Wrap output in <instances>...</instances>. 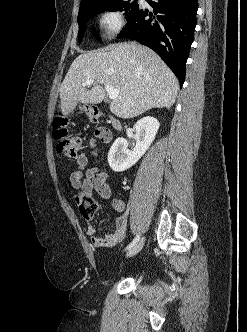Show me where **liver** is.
<instances>
[{
  "mask_svg": "<svg viewBox=\"0 0 247 332\" xmlns=\"http://www.w3.org/2000/svg\"><path fill=\"white\" fill-rule=\"evenodd\" d=\"M90 79L92 87L81 85ZM105 84L119 90L110 111L122 119L152 108H171L179 89L176 76L151 49L136 42L111 44L74 59L59 88L62 114L68 115L78 102L100 103Z\"/></svg>",
  "mask_w": 247,
  "mask_h": 332,
  "instance_id": "6515ba94",
  "label": "liver"
}]
</instances>
